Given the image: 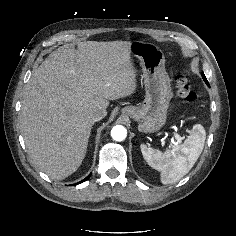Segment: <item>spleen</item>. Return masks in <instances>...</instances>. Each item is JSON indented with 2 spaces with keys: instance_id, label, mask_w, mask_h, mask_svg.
<instances>
[{
  "instance_id": "spleen-1",
  "label": "spleen",
  "mask_w": 236,
  "mask_h": 236,
  "mask_svg": "<svg viewBox=\"0 0 236 236\" xmlns=\"http://www.w3.org/2000/svg\"><path fill=\"white\" fill-rule=\"evenodd\" d=\"M206 132L201 124H196L189 137L181 145L172 146L164 153L141 144V152L146 162L161 172V182L172 184L185 176L201 155Z\"/></svg>"
}]
</instances>
